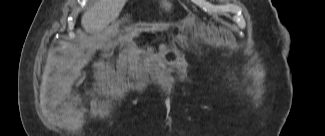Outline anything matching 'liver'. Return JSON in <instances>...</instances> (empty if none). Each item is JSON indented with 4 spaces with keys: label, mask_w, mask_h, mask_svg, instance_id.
<instances>
[{
    "label": "liver",
    "mask_w": 325,
    "mask_h": 136,
    "mask_svg": "<svg viewBox=\"0 0 325 136\" xmlns=\"http://www.w3.org/2000/svg\"><path fill=\"white\" fill-rule=\"evenodd\" d=\"M125 3L126 0H94L93 6L81 18L82 27L89 33L103 31L110 22L115 21ZM162 5L167 11L172 6L168 0H163Z\"/></svg>",
    "instance_id": "6515ba94"
}]
</instances>
